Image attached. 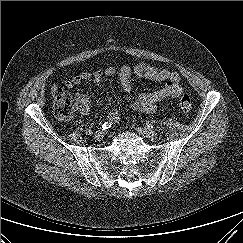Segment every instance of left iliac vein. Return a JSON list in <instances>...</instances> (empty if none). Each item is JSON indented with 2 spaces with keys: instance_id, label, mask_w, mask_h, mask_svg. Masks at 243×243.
Returning a JSON list of instances; mask_svg holds the SVG:
<instances>
[{
  "instance_id": "1",
  "label": "left iliac vein",
  "mask_w": 243,
  "mask_h": 243,
  "mask_svg": "<svg viewBox=\"0 0 243 243\" xmlns=\"http://www.w3.org/2000/svg\"><path fill=\"white\" fill-rule=\"evenodd\" d=\"M136 130L144 137L149 139H156L158 137L157 132L143 126H137Z\"/></svg>"
}]
</instances>
